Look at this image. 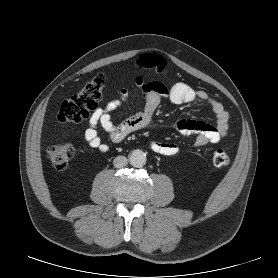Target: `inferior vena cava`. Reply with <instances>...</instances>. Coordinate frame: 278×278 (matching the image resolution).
Listing matches in <instances>:
<instances>
[{
	"label": "inferior vena cava",
	"instance_id": "inferior-vena-cava-1",
	"mask_svg": "<svg viewBox=\"0 0 278 278\" xmlns=\"http://www.w3.org/2000/svg\"><path fill=\"white\" fill-rule=\"evenodd\" d=\"M127 163L128 159L125 156H117L113 161L116 168H123L127 165Z\"/></svg>",
	"mask_w": 278,
	"mask_h": 278
}]
</instances>
